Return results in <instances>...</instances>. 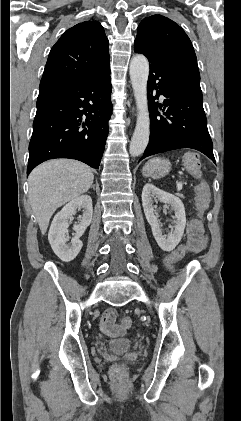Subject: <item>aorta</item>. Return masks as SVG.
Masks as SVG:
<instances>
[{
	"instance_id": "1",
	"label": "aorta",
	"mask_w": 241,
	"mask_h": 421,
	"mask_svg": "<svg viewBox=\"0 0 241 421\" xmlns=\"http://www.w3.org/2000/svg\"><path fill=\"white\" fill-rule=\"evenodd\" d=\"M130 79L138 110L136 127L130 142L129 152L137 157L145 151L150 136V118L148 111L147 81L149 63L144 55H135L130 62Z\"/></svg>"
}]
</instances>
